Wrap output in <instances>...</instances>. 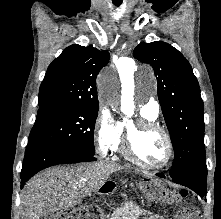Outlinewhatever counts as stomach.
Returning a JSON list of instances; mask_svg holds the SVG:
<instances>
[{
	"instance_id": "obj_1",
	"label": "stomach",
	"mask_w": 221,
	"mask_h": 219,
	"mask_svg": "<svg viewBox=\"0 0 221 219\" xmlns=\"http://www.w3.org/2000/svg\"><path fill=\"white\" fill-rule=\"evenodd\" d=\"M139 188L144 195V204H165L167 195H171L161 178H143Z\"/></svg>"
}]
</instances>
